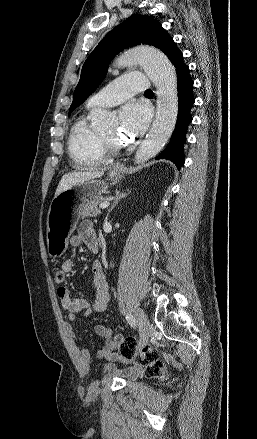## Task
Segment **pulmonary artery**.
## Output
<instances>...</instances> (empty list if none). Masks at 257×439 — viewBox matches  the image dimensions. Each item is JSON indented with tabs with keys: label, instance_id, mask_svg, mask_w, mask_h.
Wrapping results in <instances>:
<instances>
[{
	"label": "pulmonary artery",
	"instance_id": "e3ab8cb5",
	"mask_svg": "<svg viewBox=\"0 0 257 439\" xmlns=\"http://www.w3.org/2000/svg\"><path fill=\"white\" fill-rule=\"evenodd\" d=\"M149 89V80L143 73L125 74L94 94L87 102V108L112 107L135 93Z\"/></svg>",
	"mask_w": 257,
	"mask_h": 439
}]
</instances>
